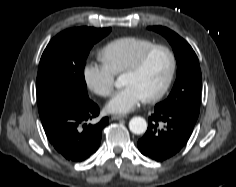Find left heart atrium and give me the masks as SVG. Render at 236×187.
I'll use <instances>...</instances> for the list:
<instances>
[{
    "instance_id": "obj_1",
    "label": "left heart atrium",
    "mask_w": 236,
    "mask_h": 187,
    "mask_svg": "<svg viewBox=\"0 0 236 187\" xmlns=\"http://www.w3.org/2000/svg\"><path fill=\"white\" fill-rule=\"evenodd\" d=\"M142 94L133 86H125L107 103L106 110L114 114H126L132 111L141 101Z\"/></svg>"
}]
</instances>
